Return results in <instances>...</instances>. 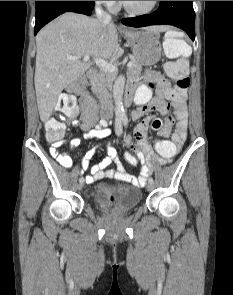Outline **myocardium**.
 I'll return each mask as SVG.
<instances>
[{
	"instance_id": "obj_1",
	"label": "myocardium",
	"mask_w": 233,
	"mask_h": 295,
	"mask_svg": "<svg viewBox=\"0 0 233 295\" xmlns=\"http://www.w3.org/2000/svg\"><path fill=\"white\" fill-rule=\"evenodd\" d=\"M159 1H153L151 6L149 8H147L146 10H142V11H137V10H133L131 9L125 1H121L122 7L123 9L130 15L132 16H145L148 15L150 13H152L156 7L158 6Z\"/></svg>"
}]
</instances>
